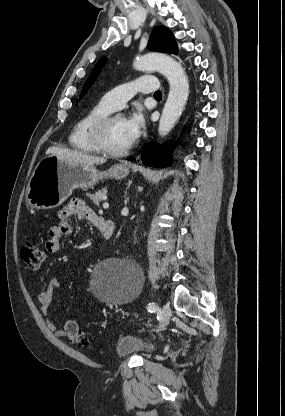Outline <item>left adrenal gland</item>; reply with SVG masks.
Listing matches in <instances>:
<instances>
[{
  "label": "left adrenal gland",
  "mask_w": 285,
  "mask_h": 416,
  "mask_svg": "<svg viewBox=\"0 0 285 416\" xmlns=\"http://www.w3.org/2000/svg\"><path fill=\"white\" fill-rule=\"evenodd\" d=\"M126 196H127V192H125V196H124L125 200H124V202H129V198H126Z\"/></svg>",
  "instance_id": "1"
}]
</instances>
